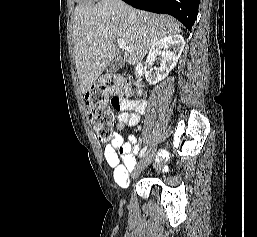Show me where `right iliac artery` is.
<instances>
[{
	"instance_id": "obj_1",
	"label": "right iliac artery",
	"mask_w": 257,
	"mask_h": 237,
	"mask_svg": "<svg viewBox=\"0 0 257 237\" xmlns=\"http://www.w3.org/2000/svg\"><path fill=\"white\" fill-rule=\"evenodd\" d=\"M146 150H147V146H145V147L141 150V152H140V154H139V157L144 156ZM167 154H168V153H167L165 150H161V151H160V155H162V156H165V155H167Z\"/></svg>"
}]
</instances>
